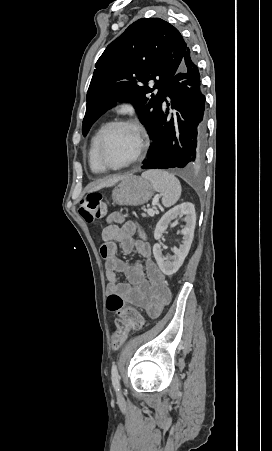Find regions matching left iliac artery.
<instances>
[{
    "instance_id": "1",
    "label": "left iliac artery",
    "mask_w": 272,
    "mask_h": 451,
    "mask_svg": "<svg viewBox=\"0 0 272 451\" xmlns=\"http://www.w3.org/2000/svg\"><path fill=\"white\" fill-rule=\"evenodd\" d=\"M111 378H112V384L114 386V389L116 391L120 390V377L118 374L117 365L113 364L111 369Z\"/></svg>"
}]
</instances>
